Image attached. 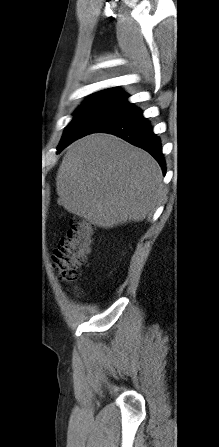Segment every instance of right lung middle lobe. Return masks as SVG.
Segmentation results:
<instances>
[{
    "label": "right lung middle lobe",
    "mask_w": 219,
    "mask_h": 447,
    "mask_svg": "<svg viewBox=\"0 0 219 447\" xmlns=\"http://www.w3.org/2000/svg\"><path fill=\"white\" fill-rule=\"evenodd\" d=\"M128 96L115 90L97 92L74 114L66 127L60 145L61 151L74 140L99 130L109 122L137 109L127 100Z\"/></svg>",
    "instance_id": "obj_1"
}]
</instances>
